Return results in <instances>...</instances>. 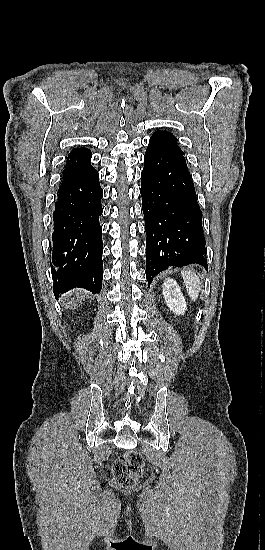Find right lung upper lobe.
<instances>
[{"instance_id": "obj_1", "label": "right lung upper lobe", "mask_w": 265, "mask_h": 550, "mask_svg": "<svg viewBox=\"0 0 265 550\" xmlns=\"http://www.w3.org/2000/svg\"><path fill=\"white\" fill-rule=\"evenodd\" d=\"M79 149H82V148H75V149H73L72 151H76V150H79Z\"/></svg>"}]
</instances>
